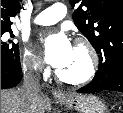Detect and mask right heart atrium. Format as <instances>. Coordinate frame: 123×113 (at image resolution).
Returning a JSON list of instances; mask_svg holds the SVG:
<instances>
[{"mask_svg": "<svg viewBox=\"0 0 123 113\" xmlns=\"http://www.w3.org/2000/svg\"><path fill=\"white\" fill-rule=\"evenodd\" d=\"M22 65L25 71L32 74H39L44 70L41 58L28 47L23 51Z\"/></svg>", "mask_w": 123, "mask_h": 113, "instance_id": "obj_1", "label": "right heart atrium"}]
</instances>
